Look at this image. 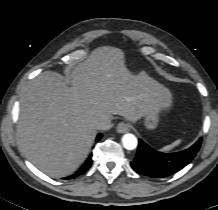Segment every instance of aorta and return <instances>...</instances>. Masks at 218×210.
<instances>
[{
  "mask_svg": "<svg viewBox=\"0 0 218 210\" xmlns=\"http://www.w3.org/2000/svg\"><path fill=\"white\" fill-rule=\"evenodd\" d=\"M122 144L125 149L133 150L137 147L138 141L135 135L131 133H127L122 137Z\"/></svg>",
  "mask_w": 218,
  "mask_h": 210,
  "instance_id": "obj_1",
  "label": "aorta"
}]
</instances>
